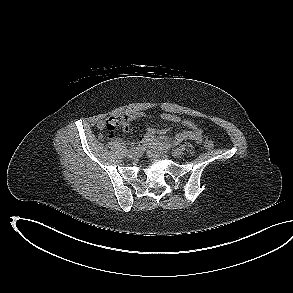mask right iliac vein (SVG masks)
<instances>
[{
	"label": "right iliac vein",
	"instance_id": "right-iliac-vein-1",
	"mask_svg": "<svg viewBox=\"0 0 293 293\" xmlns=\"http://www.w3.org/2000/svg\"><path fill=\"white\" fill-rule=\"evenodd\" d=\"M127 155L130 158H136L139 155V151L138 150H129Z\"/></svg>",
	"mask_w": 293,
	"mask_h": 293
}]
</instances>
